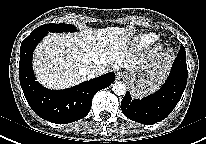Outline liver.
<instances>
[{"label": "liver", "instance_id": "6515ba94", "mask_svg": "<svg viewBox=\"0 0 206 144\" xmlns=\"http://www.w3.org/2000/svg\"><path fill=\"white\" fill-rule=\"evenodd\" d=\"M132 30L120 27L84 29L79 34H50L35 50L38 81L50 89H65L89 79L85 70L100 66L133 70L139 61L127 51Z\"/></svg>", "mask_w": 206, "mask_h": 144}]
</instances>
